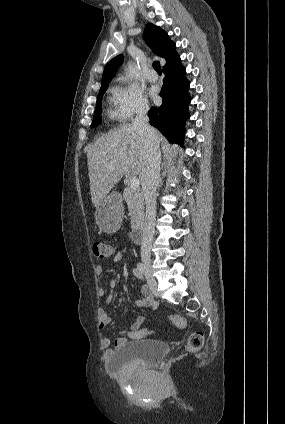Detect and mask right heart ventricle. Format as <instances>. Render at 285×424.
<instances>
[{"label":"right heart ventricle","mask_w":285,"mask_h":424,"mask_svg":"<svg viewBox=\"0 0 285 424\" xmlns=\"http://www.w3.org/2000/svg\"><path fill=\"white\" fill-rule=\"evenodd\" d=\"M106 116L111 122L123 121L121 113L117 106L116 88L114 87L110 89V95L107 98Z\"/></svg>","instance_id":"obj_1"}]
</instances>
